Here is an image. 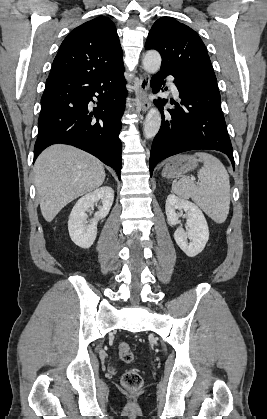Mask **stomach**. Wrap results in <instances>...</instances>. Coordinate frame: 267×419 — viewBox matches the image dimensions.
Returning <instances> with one entry per match:
<instances>
[{
    "label": "stomach",
    "instance_id": "0dacf381",
    "mask_svg": "<svg viewBox=\"0 0 267 419\" xmlns=\"http://www.w3.org/2000/svg\"><path fill=\"white\" fill-rule=\"evenodd\" d=\"M198 159L192 155H178L172 157L166 163L162 176L165 178H174L181 176L191 170H194L198 165Z\"/></svg>",
    "mask_w": 267,
    "mask_h": 419
}]
</instances>
